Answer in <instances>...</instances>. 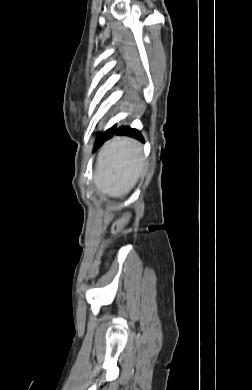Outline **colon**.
Segmentation results:
<instances>
[{
	"label": "colon",
	"instance_id": "colon-1",
	"mask_svg": "<svg viewBox=\"0 0 252 390\" xmlns=\"http://www.w3.org/2000/svg\"><path fill=\"white\" fill-rule=\"evenodd\" d=\"M112 219V215H109L107 217V221L110 222ZM128 218L127 217H124L122 219H120L119 221H117L116 223L113 224L112 226V233L114 235H118L121 231V229L123 228V226L125 225V223L127 222Z\"/></svg>",
	"mask_w": 252,
	"mask_h": 390
}]
</instances>
